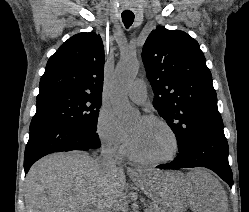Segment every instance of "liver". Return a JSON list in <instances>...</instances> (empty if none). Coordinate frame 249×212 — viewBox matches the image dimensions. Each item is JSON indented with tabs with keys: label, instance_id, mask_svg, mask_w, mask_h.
<instances>
[{
	"label": "liver",
	"instance_id": "6515ba94",
	"mask_svg": "<svg viewBox=\"0 0 249 212\" xmlns=\"http://www.w3.org/2000/svg\"><path fill=\"white\" fill-rule=\"evenodd\" d=\"M122 166H103L84 152L49 154L31 166L25 178L26 212H83L95 206L112 212L126 188ZM165 212H228L227 194L204 168L181 172L137 170L130 176Z\"/></svg>",
	"mask_w": 249,
	"mask_h": 212
}]
</instances>
